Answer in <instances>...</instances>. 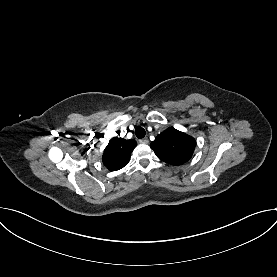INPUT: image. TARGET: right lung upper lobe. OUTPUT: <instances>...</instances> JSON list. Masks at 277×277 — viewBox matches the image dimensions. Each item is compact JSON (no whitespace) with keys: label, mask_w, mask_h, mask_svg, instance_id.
Instances as JSON below:
<instances>
[{"label":"right lung upper lobe","mask_w":277,"mask_h":277,"mask_svg":"<svg viewBox=\"0 0 277 277\" xmlns=\"http://www.w3.org/2000/svg\"><path fill=\"white\" fill-rule=\"evenodd\" d=\"M137 143L135 140H125L124 138L114 137L106 146L103 153V164L110 171H116L129 162L131 152L136 147Z\"/></svg>","instance_id":"cb5924a9"}]
</instances>
